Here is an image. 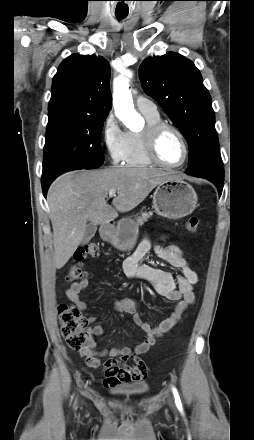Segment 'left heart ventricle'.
<instances>
[{
	"label": "left heart ventricle",
	"instance_id": "1",
	"mask_svg": "<svg viewBox=\"0 0 254 440\" xmlns=\"http://www.w3.org/2000/svg\"><path fill=\"white\" fill-rule=\"evenodd\" d=\"M160 158L167 164H179L184 157V148L177 134L171 130L164 131L158 142Z\"/></svg>",
	"mask_w": 254,
	"mask_h": 440
}]
</instances>
